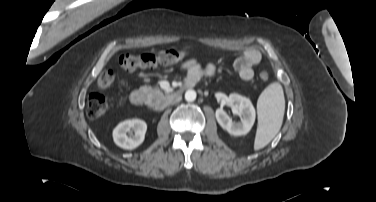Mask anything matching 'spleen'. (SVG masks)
Segmentation results:
<instances>
[{"label":"spleen","mask_w":376,"mask_h":202,"mask_svg":"<svg viewBox=\"0 0 376 202\" xmlns=\"http://www.w3.org/2000/svg\"><path fill=\"white\" fill-rule=\"evenodd\" d=\"M285 110V99L279 83L270 84L259 96L257 102L258 128L254 149L265 147L279 132Z\"/></svg>","instance_id":"3e777b00"}]
</instances>
